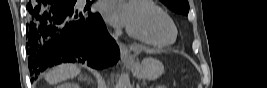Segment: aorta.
<instances>
[{
    "mask_svg": "<svg viewBox=\"0 0 267 88\" xmlns=\"http://www.w3.org/2000/svg\"><path fill=\"white\" fill-rule=\"evenodd\" d=\"M127 86H128L127 83L120 77L116 85V88H127Z\"/></svg>",
    "mask_w": 267,
    "mask_h": 88,
    "instance_id": "1",
    "label": "aorta"
}]
</instances>
